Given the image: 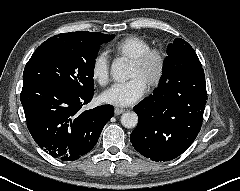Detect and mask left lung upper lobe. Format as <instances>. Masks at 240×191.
<instances>
[{"label":"left lung upper lobe","instance_id":"left-lung-upper-lobe-1","mask_svg":"<svg viewBox=\"0 0 240 191\" xmlns=\"http://www.w3.org/2000/svg\"><path fill=\"white\" fill-rule=\"evenodd\" d=\"M193 69L203 70L197 54L185 40L175 39L167 47V57L164 60L162 76L156 89L169 83L180 73Z\"/></svg>","mask_w":240,"mask_h":191}]
</instances>
